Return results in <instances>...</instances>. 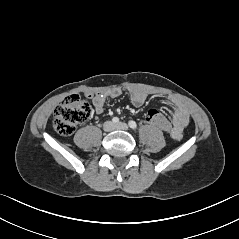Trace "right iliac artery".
Here are the masks:
<instances>
[{
	"label": "right iliac artery",
	"instance_id": "82829eb1",
	"mask_svg": "<svg viewBox=\"0 0 239 239\" xmlns=\"http://www.w3.org/2000/svg\"><path fill=\"white\" fill-rule=\"evenodd\" d=\"M112 122L115 123V124L119 123V118L118 117H114L112 119Z\"/></svg>",
	"mask_w": 239,
	"mask_h": 239
}]
</instances>
